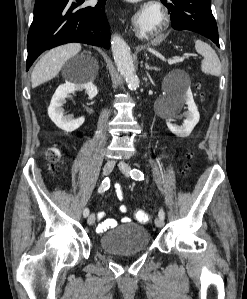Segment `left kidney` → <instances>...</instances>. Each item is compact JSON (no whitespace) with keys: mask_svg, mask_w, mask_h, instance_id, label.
Masks as SVG:
<instances>
[{"mask_svg":"<svg viewBox=\"0 0 247 299\" xmlns=\"http://www.w3.org/2000/svg\"><path fill=\"white\" fill-rule=\"evenodd\" d=\"M184 104L187 105L188 109L185 112L186 120L184 123L181 126H178L167 122L169 130L179 137L189 136L200 118L190 87L171 95V100L166 108V114L168 116L175 115Z\"/></svg>","mask_w":247,"mask_h":299,"instance_id":"obj_1","label":"left kidney"}]
</instances>
